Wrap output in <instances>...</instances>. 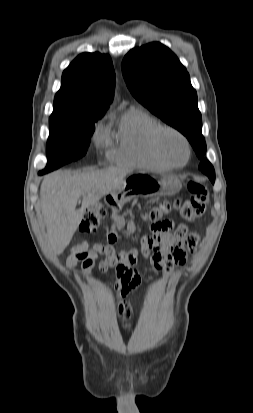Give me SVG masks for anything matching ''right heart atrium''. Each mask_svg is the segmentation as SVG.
<instances>
[{
    "mask_svg": "<svg viewBox=\"0 0 253 413\" xmlns=\"http://www.w3.org/2000/svg\"><path fill=\"white\" fill-rule=\"evenodd\" d=\"M94 141L98 147H101L106 143L107 134H106V131L102 127L98 128V130L96 131L95 136H94Z\"/></svg>",
    "mask_w": 253,
    "mask_h": 413,
    "instance_id": "right-heart-atrium-1",
    "label": "right heart atrium"
}]
</instances>
